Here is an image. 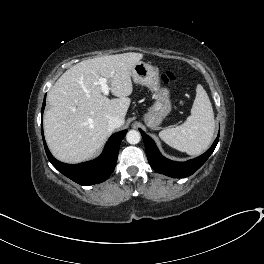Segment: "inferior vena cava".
<instances>
[{
  "label": "inferior vena cava",
  "mask_w": 264,
  "mask_h": 264,
  "mask_svg": "<svg viewBox=\"0 0 264 264\" xmlns=\"http://www.w3.org/2000/svg\"><path fill=\"white\" fill-rule=\"evenodd\" d=\"M124 123L123 119L117 116L111 117L108 121V127L109 129L113 130L116 128H119Z\"/></svg>",
  "instance_id": "inferior-vena-cava-1"
}]
</instances>
